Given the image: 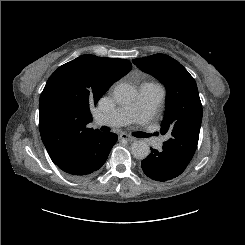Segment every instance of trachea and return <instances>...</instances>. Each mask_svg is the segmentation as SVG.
<instances>
[{"instance_id":"1","label":"trachea","mask_w":245,"mask_h":245,"mask_svg":"<svg viewBox=\"0 0 245 245\" xmlns=\"http://www.w3.org/2000/svg\"><path fill=\"white\" fill-rule=\"evenodd\" d=\"M101 130H102V131H106V132L110 131V129H109L108 127H105V126H102V127H101ZM134 136L142 138V137H147V136H149V135L146 134V133L138 132V133H135Z\"/></svg>"}]
</instances>
